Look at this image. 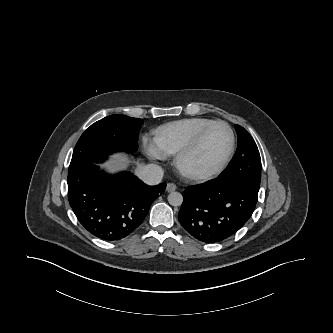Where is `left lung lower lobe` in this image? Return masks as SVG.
<instances>
[{
	"label": "left lung lower lobe",
	"mask_w": 333,
	"mask_h": 333,
	"mask_svg": "<svg viewBox=\"0 0 333 333\" xmlns=\"http://www.w3.org/2000/svg\"><path fill=\"white\" fill-rule=\"evenodd\" d=\"M258 191L237 179H216L190 186L183 192L178 219L201 242L223 241L249 220Z\"/></svg>",
	"instance_id": "0a47b994"
}]
</instances>
